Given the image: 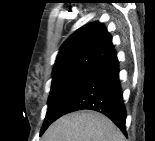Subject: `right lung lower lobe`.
I'll list each match as a JSON object with an SVG mask.
<instances>
[{"mask_svg": "<svg viewBox=\"0 0 155 141\" xmlns=\"http://www.w3.org/2000/svg\"><path fill=\"white\" fill-rule=\"evenodd\" d=\"M83 109L106 115L126 135V110L119 81V62L114 51L62 107L60 117Z\"/></svg>", "mask_w": 155, "mask_h": 141, "instance_id": "98d812e1", "label": "right lung lower lobe"}]
</instances>
